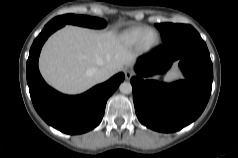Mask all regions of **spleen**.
I'll return each instance as SVG.
<instances>
[{
    "mask_svg": "<svg viewBox=\"0 0 238 158\" xmlns=\"http://www.w3.org/2000/svg\"><path fill=\"white\" fill-rule=\"evenodd\" d=\"M178 78H181V75L177 71V69L174 67L166 74V76L164 77V81L170 82V81H172L174 79H178Z\"/></svg>",
    "mask_w": 238,
    "mask_h": 158,
    "instance_id": "spleen-1",
    "label": "spleen"
}]
</instances>
